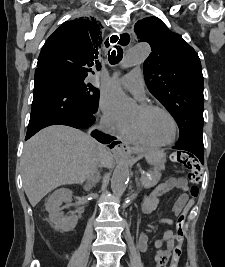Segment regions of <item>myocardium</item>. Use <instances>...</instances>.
Wrapping results in <instances>:
<instances>
[{"label":"myocardium","mask_w":225,"mask_h":267,"mask_svg":"<svg viewBox=\"0 0 225 267\" xmlns=\"http://www.w3.org/2000/svg\"><path fill=\"white\" fill-rule=\"evenodd\" d=\"M140 108L144 113H149L151 111H160V112H163L164 114H166L171 119V121L173 122V125H174V136L170 141L165 142V143L154 142L150 138L148 133L146 132L143 124L141 122H138V121H133V123L136 126L137 130L139 131V133L150 144H152L155 147H166V146H170V145L174 144L176 142L177 138H178V135H179V125H178V122H177L176 118L174 117V115L169 110H167L166 108H164L162 106H159V105L143 104V105L140 106Z\"/></svg>","instance_id":"f54148a6"}]
</instances>
